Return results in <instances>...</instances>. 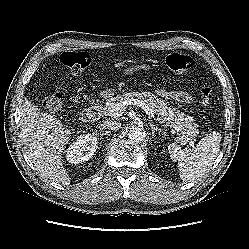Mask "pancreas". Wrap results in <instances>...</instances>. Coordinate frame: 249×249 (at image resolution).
Returning a JSON list of instances; mask_svg holds the SVG:
<instances>
[{
  "label": "pancreas",
  "instance_id": "cf45deb5",
  "mask_svg": "<svg viewBox=\"0 0 249 249\" xmlns=\"http://www.w3.org/2000/svg\"><path fill=\"white\" fill-rule=\"evenodd\" d=\"M143 100L153 112L157 115L158 120L166 126L172 128V132L178 135L177 141L186 144L194 140L199 134L198 125L194 123L193 117L182 113L175 108H171L162 99L157 98L150 92H130L109 98L101 108V112L110 115L112 108L119 103L133 99Z\"/></svg>",
  "mask_w": 249,
  "mask_h": 249
}]
</instances>
